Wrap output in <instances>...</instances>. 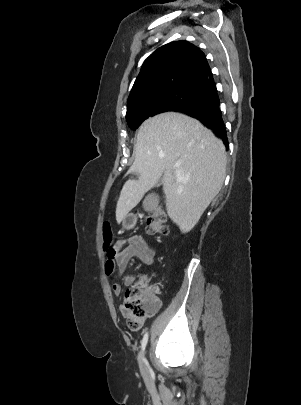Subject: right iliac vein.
<instances>
[{
    "instance_id": "63e3f726",
    "label": "right iliac vein",
    "mask_w": 301,
    "mask_h": 405,
    "mask_svg": "<svg viewBox=\"0 0 301 405\" xmlns=\"http://www.w3.org/2000/svg\"><path fill=\"white\" fill-rule=\"evenodd\" d=\"M145 352H144V350H143V352L140 354V356H139V363H140V368H141V370H142V372H146V358H145Z\"/></svg>"
}]
</instances>
